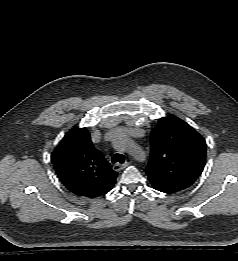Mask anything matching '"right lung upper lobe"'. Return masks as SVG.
<instances>
[{
	"instance_id": "right-lung-upper-lobe-1",
	"label": "right lung upper lobe",
	"mask_w": 238,
	"mask_h": 261,
	"mask_svg": "<svg viewBox=\"0 0 238 261\" xmlns=\"http://www.w3.org/2000/svg\"><path fill=\"white\" fill-rule=\"evenodd\" d=\"M51 160L61 182L78 196L104 195L117 177L102 153L94 148L86 128L73 127L55 148Z\"/></svg>"
}]
</instances>
